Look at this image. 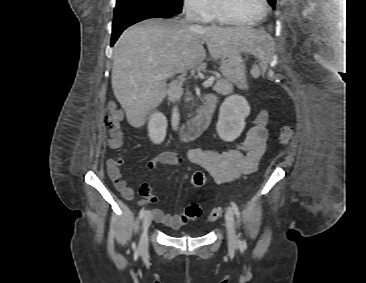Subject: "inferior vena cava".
I'll return each instance as SVG.
<instances>
[{"label":"inferior vena cava","instance_id":"inferior-vena-cava-1","mask_svg":"<svg viewBox=\"0 0 366 283\" xmlns=\"http://www.w3.org/2000/svg\"><path fill=\"white\" fill-rule=\"evenodd\" d=\"M190 18H191V14L190 12H187V15H186V21H190ZM179 113H178V109L177 107H175L173 109V112H172V118H171V123H172V127L174 130H176L178 128V125H179Z\"/></svg>","mask_w":366,"mask_h":283}]
</instances>
